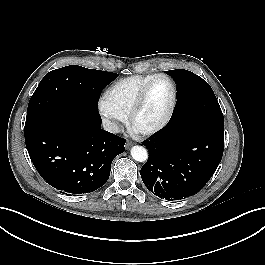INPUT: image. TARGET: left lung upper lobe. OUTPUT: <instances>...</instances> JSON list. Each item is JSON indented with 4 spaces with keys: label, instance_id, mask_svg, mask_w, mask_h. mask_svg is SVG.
Returning a JSON list of instances; mask_svg holds the SVG:
<instances>
[{
    "label": "left lung upper lobe",
    "instance_id": "5c2ea615",
    "mask_svg": "<svg viewBox=\"0 0 265 265\" xmlns=\"http://www.w3.org/2000/svg\"><path fill=\"white\" fill-rule=\"evenodd\" d=\"M177 84V103L169 125L207 123L224 129V118L210 85L184 69L165 71Z\"/></svg>",
    "mask_w": 265,
    "mask_h": 265
}]
</instances>
